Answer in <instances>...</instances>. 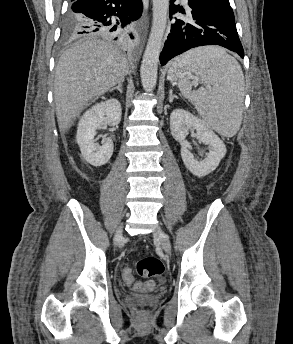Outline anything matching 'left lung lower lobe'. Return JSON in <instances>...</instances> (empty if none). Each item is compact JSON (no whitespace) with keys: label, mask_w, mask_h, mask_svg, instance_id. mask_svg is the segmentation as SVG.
Segmentation results:
<instances>
[{"label":"left lung lower lobe","mask_w":293,"mask_h":344,"mask_svg":"<svg viewBox=\"0 0 293 344\" xmlns=\"http://www.w3.org/2000/svg\"><path fill=\"white\" fill-rule=\"evenodd\" d=\"M170 14L184 9L170 0ZM191 20L175 18L160 54L161 65L173 57L198 46L220 45L244 58V50L236 30L235 18L213 0H188ZM170 18H172L170 16Z\"/></svg>","instance_id":"0a47b994"}]
</instances>
